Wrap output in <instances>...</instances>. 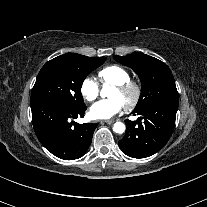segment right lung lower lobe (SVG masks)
<instances>
[{"instance_id": "1", "label": "right lung lower lobe", "mask_w": 207, "mask_h": 207, "mask_svg": "<svg viewBox=\"0 0 207 207\" xmlns=\"http://www.w3.org/2000/svg\"><path fill=\"white\" fill-rule=\"evenodd\" d=\"M86 106L72 107L55 99L31 101L32 123L41 144L55 156L74 160L89 148L97 124H78Z\"/></svg>"}]
</instances>
